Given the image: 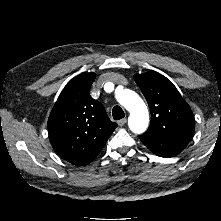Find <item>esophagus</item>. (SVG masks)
<instances>
[{"label":"esophagus","instance_id":"1","mask_svg":"<svg viewBox=\"0 0 221 221\" xmlns=\"http://www.w3.org/2000/svg\"><path fill=\"white\" fill-rule=\"evenodd\" d=\"M126 122H127V119H126V118H123V119H121V120L118 121V125H119L120 127H122V126H124V125L126 124Z\"/></svg>","mask_w":221,"mask_h":221}]
</instances>
